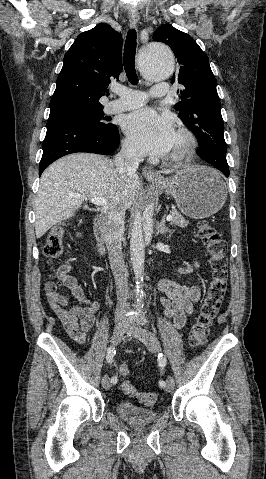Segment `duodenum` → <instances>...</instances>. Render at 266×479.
Listing matches in <instances>:
<instances>
[{"mask_svg": "<svg viewBox=\"0 0 266 479\" xmlns=\"http://www.w3.org/2000/svg\"><path fill=\"white\" fill-rule=\"evenodd\" d=\"M107 220L104 215L99 214L96 216L94 221V235L97 241V248L100 254L104 255L106 253V241H105V226Z\"/></svg>", "mask_w": 266, "mask_h": 479, "instance_id": "obj_1", "label": "duodenum"}]
</instances>
